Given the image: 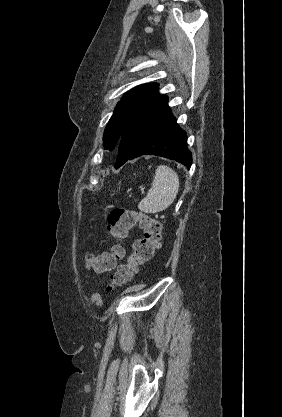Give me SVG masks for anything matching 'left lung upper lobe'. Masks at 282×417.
Masks as SVG:
<instances>
[{
	"instance_id": "1",
	"label": "left lung upper lobe",
	"mask_w": 282,
	"mask_h": 417,
	"mask_svg": "<svg viewBox=\"0 0 282 417\" xmlns=\"http://www.w3.org/2000/svg\"><path fill=\"white\" fill-rule=\"evenodd\" d=\"M158 84H143L128 91L117 104L113 116L105 129L103 141L104 149L112 151L117 147L124 124L134 109L146 100L156 89Z\"/></svg>"
}]
</instances>
